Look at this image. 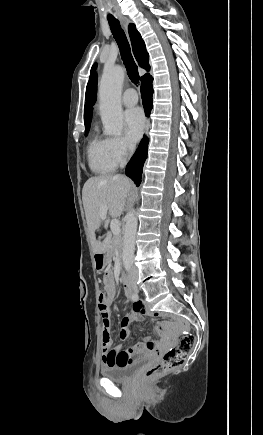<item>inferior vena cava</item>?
Wrapping results in <instances>:
<instances>
[{
  "label": "inferior vena cava",
  "instance_id": "602c4592",
  "mask_svg": "<svg viewBox=\"0 0 263 435\" xmlns=\"http://www.w3.org/2000/svg\"><path fill=\"white\" fill-rule=\"evenodd\" d=\"M128 148H129V151L132 153L134 151V149H135V146L131 144V145L128 146ZM135 272H136L135 269L131 270V273H135Z\"/></svg>",
  "mask_w": 263,
  "mask_h": 435
}]
</instances>
